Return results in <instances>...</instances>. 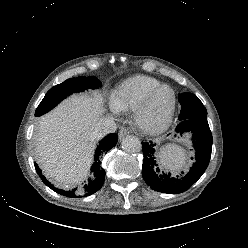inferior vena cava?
I'll return each mask as SVG.
<instances>
[{
	"instance_id": "1",
	"label": "inferior vena cava",
	"mask_w": 248,
	"mask_h": 248,
	"mask_svg": "<svg viewBox=\"0 0 248 248\" xmlns=\"http://www.w3.org/2000/svg\"><path fill=\"white\" fill-rule=\"evenodd\" d=\"M117 129L116 123L112 118L103 117L96 124L93 130V137L99 139L109 133L115 132Z\"/></svg>"
}]
</instances>
